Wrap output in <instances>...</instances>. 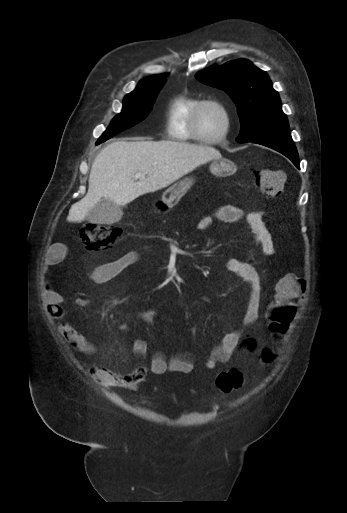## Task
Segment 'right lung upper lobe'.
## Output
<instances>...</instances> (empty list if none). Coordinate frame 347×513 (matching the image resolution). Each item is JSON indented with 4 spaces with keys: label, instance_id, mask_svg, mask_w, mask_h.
Instances as JSON below:
<instances>
[{
    "label": "right lung upper lobe",
    "instance_id": "right-lung-upper-lobe-1",
    "mask_svg": "<svg viewBox=\"0 0 347 513\" xmlns=\"http://www.w3.org/2000/svg\"><path fill=\"white\" fill-rule=\"evenodd\" d=\"M167 75L168 74L154 75V76L147 77V78L141 80L139 83L150 82V81H153V80H156V79L165 78Z\"/></svg>",
    "mask_w": 347,
    "mask_h": 513
}]
</instances>
